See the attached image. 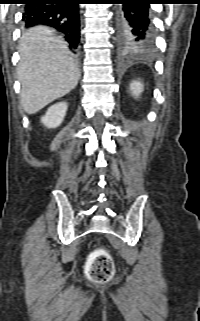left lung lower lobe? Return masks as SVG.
Wrapping results in <instances>:
<instances>
[{
	"label": "left lung lower lobe",
	"mask_w": 200,
	"mask_h": 321,
	"mask_svg": "<svg viewBox=\"0 0 200 321\" xmlns=\"http://www.w3.org/2000/svg\"><path fill=\"white\" fill-rule=\"evenodd\" d=\"M157 0H117L116 28L120 49L128 54H146L153 49L150 4Z\"/></svg>",
	"instance_id": "1"
}]
</instances>
